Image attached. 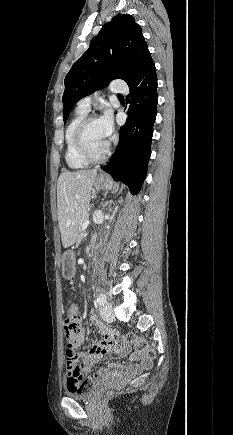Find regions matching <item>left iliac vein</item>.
Instances as JSON below:
<instances>
[{
	"label": "left iliac vein",
	"mask_w": 233,
	"mask_h": 435,
	"mask_svg": "<svg viewBox=\"0 0 233 435\" xmlns=\"http://www.w3.org/2000/svg\"><path fill=\"white\" fill-rule=\"evenodd\" d=\"M100 315L106 322H112L114 320V313L110 303L106 302L100 307Z\"/></svg>",
	"instance_id": "1"
}]
</instances>
